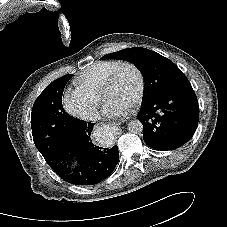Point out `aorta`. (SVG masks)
<instances>
[{
  "label": "aorta",
  "instance_id": "obj_1",
  "mask_svg": "<svg viewBox=\"0 0 227 227\" xmlns=\"http://www.w3.org/2000/svg\"><path fill=\"white\" fill-rule=\"evenodd\" d=\"M128 130L133 134H139L143 131V125L139 120H132L128 123Z\"/></svg>",
  "mask_w": 227,
  "mask_h": 227
}]
</instances>
